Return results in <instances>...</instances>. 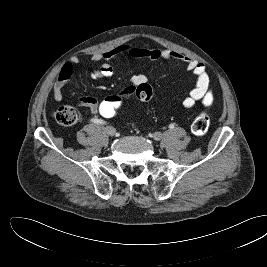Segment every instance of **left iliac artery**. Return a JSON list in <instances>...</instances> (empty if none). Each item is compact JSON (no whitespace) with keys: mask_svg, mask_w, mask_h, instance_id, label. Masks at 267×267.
<instances>
[{"mask_svg":"<svg viewBox=\"0 0 267 267\" xmlns=\"http://www.w3.org/2000/svg\"><path fill=\"white\" fill-rule=\"evenodd\" d=\"M169 128H170V129H173V128H174V124H170V125H169Z\"/></svg>","mask_w":267,"mask_h":267,"instance_id":"1","label":"left iliac artery"}]
</instances>
